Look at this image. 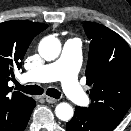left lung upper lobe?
<instances>
[{
    "instance_id": "1",
    "label": "left lung upper lobe",
    "mask_w": 131,
    "mask_h": 131,
    "mask_svg": "<svg viewBox=\"0 0 131 131\" xmlns=\"http://www.w3.org/2000/svg\"><path fill=\"white\" fill-rule=\"evenodd\" d=\"M84 29L91 40L86 68L91 104L83 108L113 130L131 106V49L101 24L85 22Z\"/></svg>"
}]
</instances>
